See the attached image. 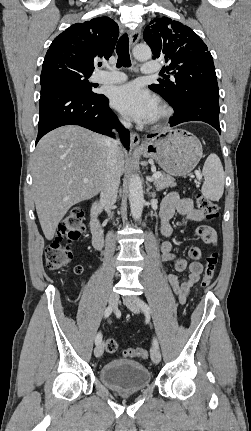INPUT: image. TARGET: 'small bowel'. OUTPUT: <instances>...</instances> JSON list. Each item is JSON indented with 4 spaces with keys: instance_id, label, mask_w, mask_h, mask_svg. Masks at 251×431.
Segmentation results:
<instances>
[{
    "instance_id": "1",
    "label": "small bowel",
    "mask_w": 251,
    "mask_h": 431,
    "mask_svg": "<svg viewBox=\"0 0 251 431\" xmlns=\"http://www.w3.org/2000/svg\"><path fill=\"white\" fill-rule=\"evenodd\" d=\"M177 214L191 222H202L204 214L194 207L191 199L181 198L175 192L166 196L161 204V233L167 238L160 247L161 260L165 263H172L178 272L188 269V274L183 279H180L175 274L168 276L172 291L177 295L179 303L184 304L191 288L198 282L203 272V264L201 263L202 252L199 247L193 246L189 249L188 255L192 260L190 264H187L183 259L177 258L174 254L170 241L173 233L170 221ZM196 234L207 244L215 245L217 243V233L209 225L198 226Z\"/></svg>"
}]
</instances>
